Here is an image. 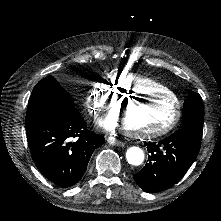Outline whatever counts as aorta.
<instances>
[{
  "label": "aorta",
  "mask_w": 221,
  "mask_h": 221,
  "mask_svg": "<svg viewBox=\"0 0 221 221\" xmlns=\"http://www.w3.org/2000/svg\"><path fill=\"white\" fill-rule=\"evenodd\" d=\"M145 154L139 147L133 146L127 149L126 159L133 166L141 165L144 161Z\"/></svg>",
  "instance_id": "aorta-1"
}]
</instances>
